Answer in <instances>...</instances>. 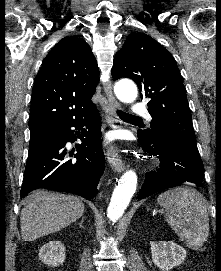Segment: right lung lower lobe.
Returning <instances> with one entry per match:
<instances>
[{
    "label": "right lung lower lobe",
    "mask_w": 221,
    "mask_h": 271,
    "mask_svg": "<svg viewBox=\"0 0 221 271\" xmlns=\"http://www.w3.org/2000/svg\"><path fill=\"white\" fill-rule=\"evenodd\" d=\"M87 125L88 131L82 127ZM81 129L79 136L71 129ZM82 144L76 146L74 158L65 149L67 142L77 136ZM100 115L97 109L58 127V130L30 146L20 192L25 197L39 188L77 194L92 199L97 193L99 179L104 172L101 147Z\"/></svg>",
    "instance_id": "98d812e1"
}]
</instances>
